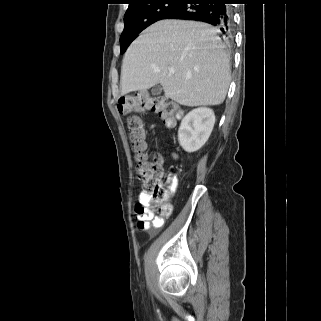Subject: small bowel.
<instances>
[{"instance_id":"1","label":"small bowel","mask_w":321,"mask_h":321,"mask_svg":"<svg viewBox=\"0 0 321 321\" xmlns=\"http://www.w3.org/2000/svg\"><path fill=\"white\" fill-rule=\"evenodd\" d=\"M157 157L160 159L162 163L165 156L164 154H160V155H157ZM162 175H163V172H162ZM165 186L167 187L166 196L168 198H172L176 193L177 186H178V178L176 174H174L173 172H169L166 175ZM151 201H152V195L149 192L145 190H142L139 192L137 204L147 207L151 204ZM136 214L138 219V227L142 230L148 231L150 234H156L164 224V218L160 216H155L151 212L140 214L136 211Z\"/></svg>"}]
</instances>
